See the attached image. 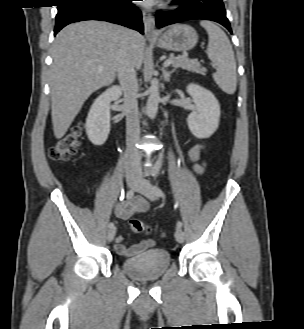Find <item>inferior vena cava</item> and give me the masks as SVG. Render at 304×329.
<instances>
[{
    "instance_id": "602c4592",
    "label": "inferior vena cava",
    "mask_w": 304,
    "mask_h": 329,
    "mask_svg": "<svg viewBox=\"0 0 304 329\" xmlns=\"http://www.w3.org/2000/svg\"><path fill=\"white\" fill-rule=\"evenodd\" d=\"M117 75L123 91V108L126 113L127 162L126 175L141 179V153L135 148L140 138L137 103L138 82L132 59L130 41L126 31L122 35V49L118 59Z\"/></svg>"
}]
</instances>
